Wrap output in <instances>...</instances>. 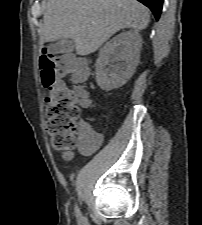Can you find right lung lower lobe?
I'll return each mask as SVG.
<instances>
[{"label":"right lung lower lobe","mask_w":202,"mask_h":225,"mask_svg":"<svg viewBox=\"0 0 202 225\" xmlns=\"http://www.w3.org/2000/svg\"><path fill=\"white\" fill-rule=\"evenodd\" d=\"M138 1L146 5L148 8H150L156 20L159 19L164 0H138Z\"/></svg>","instance_id":"right-lung-lower-lobe-1"}]
</instances>
